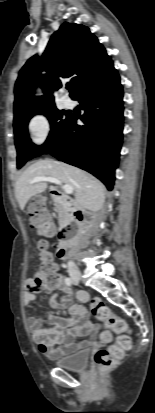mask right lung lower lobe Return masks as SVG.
Masks as SVG:
<instances>
[{"mask_svg":"<svg viewBox=\"0 0 155 413\" xmlns=\"http://www.w3.org/2000/svg\"><path fill=\"white\" fill-rule=\"evenodd\" d=\"M123 89L114 67L84 85L73 98L85 113L67 116V123L43 152L84 169L112 190L118 166L123 130Z\"/></svg>","mask_w":155,"mask_h":413,"instance_id":"right-lung-lower-lobe-1","label":"right lung lower lobe"}]
</instances>
